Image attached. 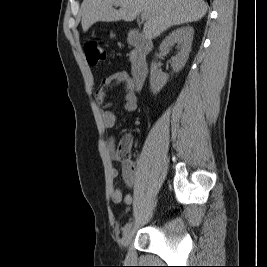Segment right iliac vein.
Wrapping results in <instances>:
<instances>
[{"instance_id": "63e3f726", "label": "right iliac vein", "mask_w": 267, "mask_h": 267, "mask_svg": "<svg viewBox=\"0 0 267 267\" xmlns=\"http://www.w3.org/2000/svg\"><path fill=\"white\" fill-rule=\"evenodd\" d=\"M131 239H132V231H131V230H128V231L124 234V236H123V238H122V240H121V245H122V247L126 248V247L129 245Z\"/></svg>"}]
</instances>
